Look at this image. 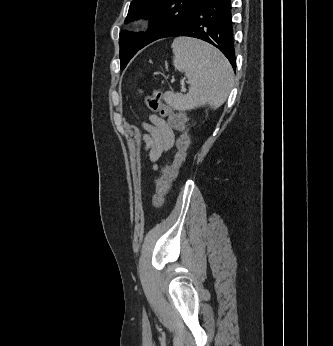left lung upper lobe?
Wrapping results in <instances>:
<instances>
[{"label": "left lung upper lobe", "instance_id": "left-lung-upper-lobe-1", "mask_svg": "<svg viewBox=\"0 0 333 346\" xmlns=\"http://www.w3.org/2000/svg\"><path fill=\"white\" fill-rule=\"evenodd\" d=\"M203 0H133L125 23L140 17L151 20V26L144 33L124 31L120 33L121 69L138 50L161 38L171 27L190 14Z\"/></svg>", "mask_w": 333, "mask_h": 346}]
</instances>
